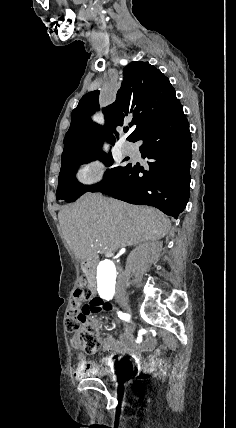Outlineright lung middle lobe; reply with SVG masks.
<instances>
[{
	"mask_svg": "<svg viewBox=\"0 0 236 428\" xmlns=\"http://www.w3.org/2000/svg\"><path fill=\"white\" fill-rule=\"evenodd\" d=\"M97 158L101 160L106 166H111L113 164V158L110 153L106 154L102 151H99L97 153L81 158L69 165L67 168L61 170V172L59 173L58 188L56 191L57 200L73 202L86 192H98L100 189L110 184L117 176V174L124 168L114 167L108 169L104 175V179L95 185H83L79 183L75 178V173L78 166L95 160Z\"/></svg>",
	"mask_w": 236,
	"mask_h": 428,
	"instance_id": "right-lung-middle-lobe-1",
	"label": "right lung middle lobe"
}]
</instances>
